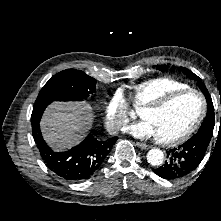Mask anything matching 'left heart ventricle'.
<instances>
[{
    "label": "left heart ventricle",
    "mask_w": 221,
    "mask_h": 221,
    "mask_svg": "<svg viewBox=\"0 0 221 221\" xmlns=\"http://www.w3.org/2000/svg\"><path fill=\"white\" fill-rule=\"evenodd\" d=\"M200 100L195 94H185L160 111H140L139 116L148 121L155 137L170 139L184 132L200 111Z\"/></svg>",
    "instance_id": "left-heart-ventricle-1"
}]
</instances>
